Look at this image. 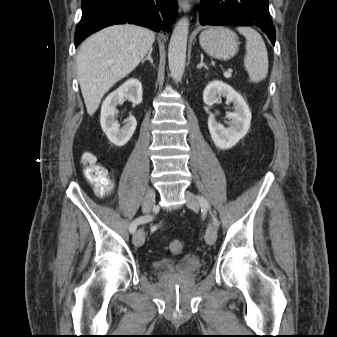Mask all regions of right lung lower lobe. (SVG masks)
<instances>
[{
	"label": "right lung lower lobe",
	"mask_w": 337,
	"mask_h": 337,
	"mask_svg": "<svg viewBox=\"0 0 337 337\" xmlns=\"http://www.w3.org/2000/svg\"><path fill=\"white\" fill-rule=\"evenodd\" d=\"M177 12V0H82L75 47L90 34L114 24L130 23L169 32Z\"/></svg>",
	"instance_id": "98d812e1"
}]
</instances>
